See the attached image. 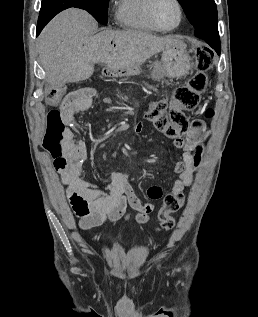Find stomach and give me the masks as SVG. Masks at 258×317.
I'll use <instances>...</instances> for the list:
<instances>
[{
    "label": "stomach",
    "instance_id": "0dacf381",
    "mask_svg": "<svg viewBox=\"0 0 258 317\" xmlns=\"http://www.w3.org/2000/svg\"><path fill=\"white\" fill-rule=\"evenodd\" d=\"M191 56L185 42H179L177 46L162 50L161 60L154 62L156 74H167V76H183L191 68Z\"/></svg>",
    "mask_w": 258,
    "mask_h": 317
}]
</instances>
